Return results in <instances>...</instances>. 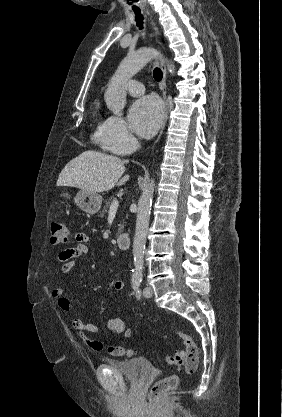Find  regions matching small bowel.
Listing matches in <instances>:
<instances>
[{
  "mask_svg": "<svg viewBox=\"0 0 282 417\" xmlns=\"http://www.w3.org/2000/svg\"><path fill=\"white\" fill-rule=\"evenodd\" d=\"M89 236L84 231H78L75 234V245L59 255V271L62 274H66L71 271L76 265V259L84 256L88 252L87 243ZM125 284L122 280H116L112 284V288L116 292L124 290ZM52 298L56 301L57 306L64 312L71 310V302L66 297L65 291L62 288H54L51 292ZM72 326L77 332L81 340L89 346L93 351L100 352L107 349L108 344L103 341L92 339L91 333H97L99 327L95 324H86L79 318L72 320ZM107 327L111 334H122L123 338H129L132 334V330L126 327L123 320L119 318H113L108 320Z\"/></svg>",
  "mask_w": 282,
  "mask_h": 417,
  "instance_id": "1",
  "label": "small bowel"
}]
</instances>
